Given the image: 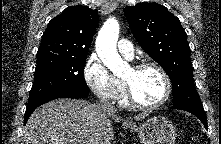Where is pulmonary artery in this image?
Listing matches in <instances>:
<instances>
[{
	"label": "pulmonary artery",
	"instance_id": "pulmonary-artery-1",
	"mask_svg": "<svg viewBox=\"0 0 221 144\" xmlns=\"http://www.w3.org/2000/svg\"><path fill=\"white\" fill-rule=\"evenodd\" d=\"M118 51L126 59H132L134 56V48L132 43L127 39H121L118 42Z\"/></svg>",
	"mask_w": 221,
	"mask_h": 144
}]
</instances>
